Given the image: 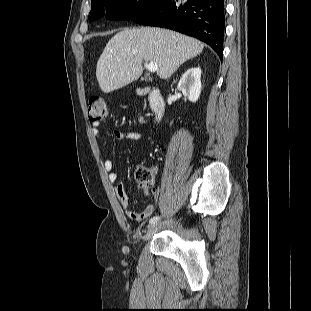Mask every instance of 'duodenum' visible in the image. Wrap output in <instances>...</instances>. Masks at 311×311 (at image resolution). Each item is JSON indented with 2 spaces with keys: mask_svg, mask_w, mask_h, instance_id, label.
I'll use <instances>...</instances> for the list:
<instances>
[{
  "mask_svg": "<svg viewBox=\"0 0 311 311\" xmlns=\"http://www.w3.org/2000/svg\"><path fill=\"white\" fill-rule=\"evenodd\" d=\"M137 93L139 95L148 96L154 120H160L165 111V103L160 89L158 87L150 86L147 88L138 89Z\"/></svg>",
  "mask_w": 311,
  "mask_h": 311,
  "instance_id": "obj_1",
  "label": "duodenum"
}]
</instances>
